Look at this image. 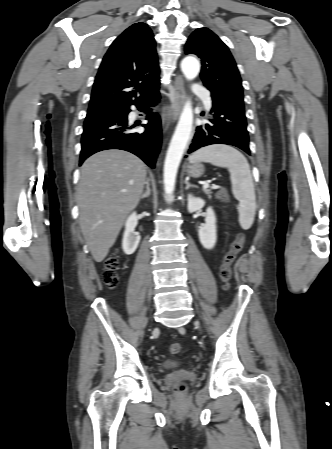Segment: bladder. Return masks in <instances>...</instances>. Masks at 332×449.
<instances>
[{"label": "bladder", "instance_id": "1", "mask_svg": "<svg viewBox=\"0 0 332 449\" xmlns=\"http://www.w3.org/2000/svg\"><path fill=\"white\" fill-rule=\"evenodd\" d=\"M188 364H181L175 360L165 359L159 364L161 371L174 370L182 367H187Z\"/></svg>", "mask_w": 332, "mask_h": 449}]
</instances>
